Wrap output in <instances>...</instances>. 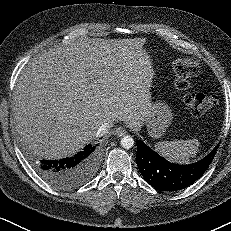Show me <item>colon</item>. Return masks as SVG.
<instances>
[{
    "mask_svg": "<svg viewBox=\"0 0 231 231\" xmlns=\"http://www.w3.org/2000/svg\"><path fill=\"white\" fill-rule=\"evenodd\" d=\"M199 67L200 62L196 58L178 56L173 65L175 87L180 91L188 90L199 71ZM183 102L192 114L201 115L216 105L217 98L214 94L207 92L187 93Z\"/></svg>",
    "mask_w": 231,
    "mask_h": 231,
    "instance_id": "obj_1",
    "label": "colon"
}]
</instances>
